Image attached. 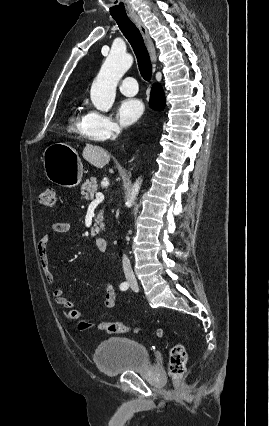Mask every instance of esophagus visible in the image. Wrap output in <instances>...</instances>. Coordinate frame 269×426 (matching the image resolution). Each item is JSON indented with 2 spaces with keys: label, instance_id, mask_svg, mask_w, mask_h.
I'll return each instance as SVG.
<instances>
[{
  "label": "esophagus",
  "instance_id": "34e87169",
  "mask_svg": "<svg viewBox=\"0 0 269 426\" xmlns=\"http://www.w3.org/2000/svg\"><path fill=\"white\" fill-rule=\"evenodd\" d=\"M132 21L135 23V25L138 27L141 35L143 36L145 43L149 49L150 55H151V60L153 63V72H155L156 70V52L153 46V43L149 37L148 31L146 26L144 25V23L142 22V20L140 19L139 16H132L131 17Z\"/></svg>",
  "mask_w": 269,
  "mask_h": 426
}]
</instances>
